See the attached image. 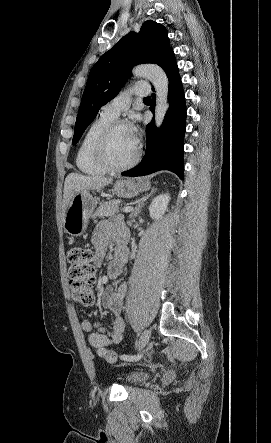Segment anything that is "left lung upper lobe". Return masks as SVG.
I'll use <instances>...</instances> for the list:
<instances>
[{
  "label": "left lung upper lobe",
  "mask_w": 271,
  "mask_h": 443,
  "mask_svg": "<svg viewBox=\"0 0 271 443\" xmlns=\"http://www.w3.org/2000/svg\"><path fill=\"white\" fill-rule=\"evenodd\" d=\"M167 30L146 21L140 32H130L92 67L77 115L72 144H76L99 109L114 98L131 76L134 65L157 64L170 50Z\"/></svg>",
  "instance_id": "1"
}]
</instances>
